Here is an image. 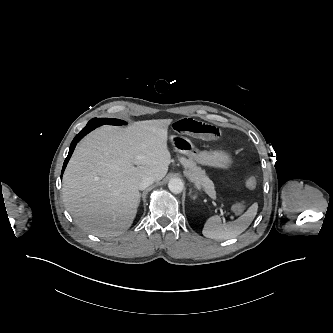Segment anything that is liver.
<instances>
[{"label": "liver", "mask_w": 333, "mask_h": 333, "mask_svg": "<svg viewBox=\"0 0 333 333\" xmlns=\"http://www.w3.org/2000/svg\"><path fill=\"white\" fill-rule=\"evenodd\" d=\"M172 119L103 126L76 147L63 176V201L79 227L98 237L119 236L133 223L139 182L160 181L168 172Z\"/></svg>", "instance_id": "1"}]
</instances>
